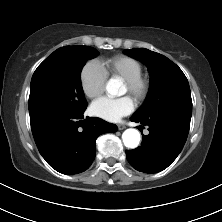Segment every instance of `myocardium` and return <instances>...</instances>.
Masks as SVG:
<instances>
[{
  "label": "myocardium",
  "instance_id": "f54148a6",
  "mask_svg": "<svg viewBox=\"0 0 222 222\" xmlns=\"http://www.w3.org/2000/svg\"><path fill=\"white\" fill-rule=\"evenodd\" d=\"M129 95L137 104L143 103L150 92V80L144 75H139L130 80H124Z\"/></svg>",
  "mask_w": 222,
  "mask_h": 222
}]
</instances>
